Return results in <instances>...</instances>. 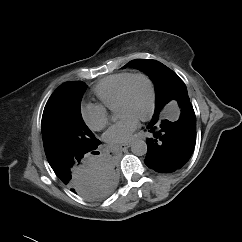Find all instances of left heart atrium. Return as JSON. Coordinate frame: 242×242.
I'll return each mask as SVG.
<instances>
[{
    "label": "left heart atrium",
    "instance_id": "1",
    "mask_svg": "<svg viewBox=\"0 0 242 242\" xmlns=\"http://www.w3.org/2000/svg\"><path fill=\"white\" fill-rule=\"evenodd\" d=\"M138 118L131 115H123L116 123L105 132L104 138L108 143H126L132 138V134L138 127Z\"/></svg>",
    "mask_w": 242,
    "mask_h": 242
}]
</instances>
